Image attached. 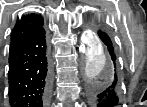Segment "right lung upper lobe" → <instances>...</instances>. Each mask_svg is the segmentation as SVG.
I'll list each match as a JSON object with an SVG mask.
<instances>
[{
  "mask_svg": "<svg viewBox=\"0 0 147 107\" xmlns=\"http://www.w3.org/2000/svg\"><path fill=\"white\" fill-rule=\"evenodd\" d=\"M43 19L36 14H28L18 19L11 33L10 46L25 39L35 31L43 28Z\"/></svg>",
  "mask_w": 147,
  "mask_h": 107,
  "instance_id": "1",
  "label": "right lung upper lobe"
}]
</instances>
